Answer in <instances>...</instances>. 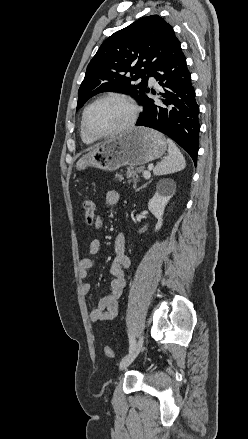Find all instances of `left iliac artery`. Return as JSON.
<instances>
[{
  "instance_id": "1",
  "label": "left iliac artery",
  "mask_w": 248,
  "mask_h": 439,
  "mask_svg": "<svg viewBox=\"0 0 248 439\" xmlns=\"http://www.w3.org/2000/svg\"><path fill=\"white\" fill-rule=\"evenodd\" d=\"M135 345H136V341L134 336L129 335V352L134 349Z\"/></svg>"
}]
</instances>
